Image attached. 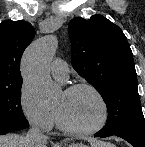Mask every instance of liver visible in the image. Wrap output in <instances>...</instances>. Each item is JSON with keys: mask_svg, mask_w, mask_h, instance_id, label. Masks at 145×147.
Instances as JSON below:
<instances>
[{"mask_svg": "<svg viewBox=\"0 0 145 147\" xmlns=\"http://www.w3.org/2000/svg\"><path fill=\"white\" fill-rule=\"evenodd\" d=\"M92 147H114L109 143H102L95 139H88ZM0 147H30L26 138L17 134L0 136Z\"/></svg>", "mask_w": 145, "mask_h": 147, "instance_id": "obj_1", "label": "liver"}]
</instances>
